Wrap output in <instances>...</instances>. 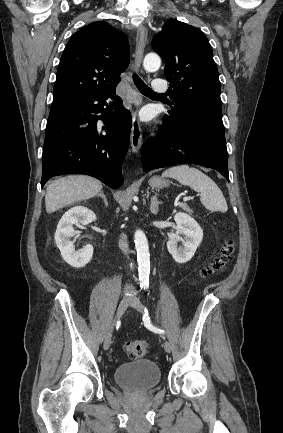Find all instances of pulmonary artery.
<instances>
[{
  "instance_id": "pulmonary-artery-1",
  "label": "pulmonary artery",
  "mask_w": 283,
  "mask_h": 433,
  "mask_svg": "<svg viewBox=\"0 0 283 433\" xmlns=\"http://www.w3.org/2000/svg\"><path fill=\"white\" fill-rule=\"evenodd\" d=\"M167 88L164 78H155L151 86L152 92H166Z\"/></svg>"
}]
</instances>
